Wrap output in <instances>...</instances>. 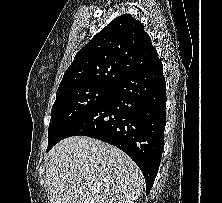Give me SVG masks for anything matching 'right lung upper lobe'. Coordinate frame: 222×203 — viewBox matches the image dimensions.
I'll list each match as a JSON object with an SVG mask.
<instances>
[{"label": "right lung upper lobe", "mask_w": 222, "mask_h": 203, "mask_svg": "<svg viewBox=\"0 0 222 203\" xmlns=\"http://www.w3.org/2000/svg\"><path fill=\"white\" fill-rule=\"evenodd\" d=\"M158 58L143 25L130 14L112 20L74 57L58 90L95 85L113 87L124 76Z\"/></svg>", "instance_id": "cb5924a9"}]
</instances>
